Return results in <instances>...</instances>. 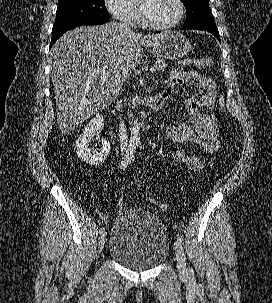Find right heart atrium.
I'll list each match as a JSON object with an SVG mask.
<instances>
[{
    "label": "right heart atrium",
    "instance_id": "d8ad5b80",
    "mask_svg": "<svg viewBox=\"0 0 272 303\" xmlns=\"http://www.w3.org/2000/svg\"><path fill=\"white\" fill-rule=\"evenodd\" d=\"M105 6L122 23L134 24L138 21L139 11L131 0H105Z\"/></svg>",
    "mask_w": 272,
    "mask_h": 303
}]
</instances>
